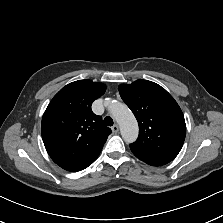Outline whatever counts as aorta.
I'll list each match as a JSON object with an SVG mask.
<instances>
[{
	"mask_svg": "<svg viewBox=\"0 0 223 223\" xmlns=\"http://www.w3.org/2000/svg\"><path fill=\"white\" fill-rule=\"evenodd\" d=\"M105 104L111 116L121 128V136L126 144L133 143L138 138L139 127L131 110L124 103L110 98L105 99Z\"/></svg>",
	"mask_w": 223,
	"mask_h": 223,
	"instance_id": "obj_1",
	"label": "aorta"
}]
</instances>
